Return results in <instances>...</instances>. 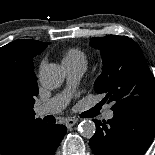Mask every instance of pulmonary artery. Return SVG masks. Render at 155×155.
Instances as JSON below:
<instances>
[{"instance_id": "e3ab8cb5", "label": "pulmonary artery", "mask_w": 155, "mask_h": 155, "mask_svg": "<svg viewBox=\"0 0 155 155\" xmlns=\"http://www.w3.org/2000/svg\"><path fill=\"white\" fill-rule=\"evenodd\" d=\"M63 65L66 69L67 76H68L67 89L63 93L46 101L37 110L38 117H42L48 114H56L62 111L66 107L69 101L72 90L74 89L78 80L81 78V76L84 74L86 70V64L84 63H74V64L63 63ZM113 116H114V113L110 109L107 110L104 114V117L106 119H111L113 118Z\"/></svg>"}]
</instances>
